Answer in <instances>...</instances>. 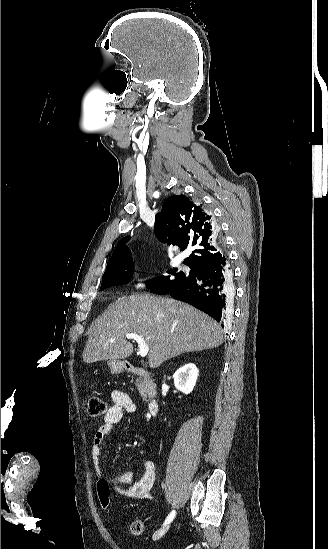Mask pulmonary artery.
<instances>
[{
    "label": "pulmonary artery",
    "instance_id": "1",
    "mask_svg": "<svg viewBox=\"0 0 328 549\" xmlns=\"http://www.w3.org/2000/svg\"><path fill=\"white\" fill-rule=\"evenodd\" d=\"M177 263H178L179 266H184V262H183L182 258H179Z\"/></svg>",
    "mask_w": 328,
    "mask_h": 549
}]
</instances>
